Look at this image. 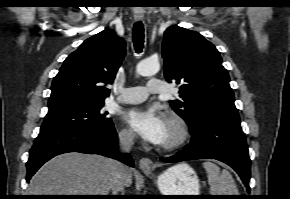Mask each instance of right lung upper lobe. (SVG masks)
Masks as SVG:
<instances>
[{
	"instance_id": "cb5924a9",
	"label": "right lung upper lobe",
	"mask_w": 290,
	"mask_h": 199,
	"mask_svg": "<svg viewBox=\"0 0 290 199\" xmlns=\"http://www.w3.org/2000/svg\"><path fill=\"white\" fill-rule=\"evenodd\" d=\"M125 42L113 30L87 40L64 61L51 86L48 113L104 102L125 56Z\"/></svg>"
}]
</instances>
